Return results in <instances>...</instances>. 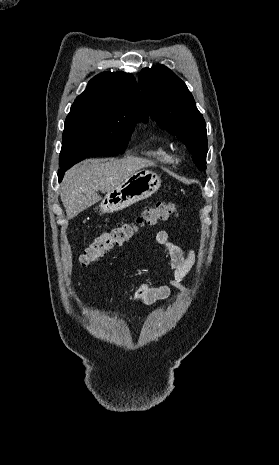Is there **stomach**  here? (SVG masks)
I'll return each mask as SVG.
<instances>
[{"mask_svg": "<svg viewBox=\"0 0 279 465\" xmlns=\"http://www.w3.org/2000/svg\"><path fill=\"white\" fill-rule=\"evenodd\" d=\"M161 186L160 177L149 170H140L127 178L116 189L107 193L100 203L102 213L123 210L150 197Z\"/></svg>", "mask_w": 279, "mask_h": 465, "instance_id": "0dacf381", "label": "stomach"}]
</instances>
